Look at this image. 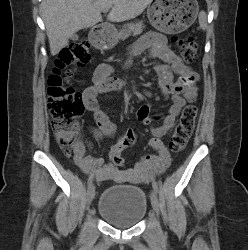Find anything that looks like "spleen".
Returning a JSON list of instances; mask_svg holds the SVG:
<instances>
[{"mask_svg": "<svg viewBox=\"0 0 248 250\" xmlns=\"http://www.w3.org/2000/svg\"><path fill=\"white\" fill-rule=\"evenodd\" d=\"M199 25L203 30L207 28V16L204 11H201L199 14Z\"/></svg>", "mask_w": 248, "mask_h": 250, "instance_id": "1", "label": "spleen"}]
</instances>
